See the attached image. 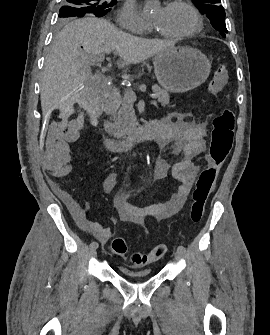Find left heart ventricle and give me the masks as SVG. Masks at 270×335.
Masks as SVG:
<instances>
[{
	"label": "left heart ventricle",
	"instance_id": "obj_1",
	"mask_svg": "<svg viewBox=\"0 0 270 335\" xmlns=\"http://www.w3.org/2000/svg\"><path fill=\"white\" fill-rule=\"evenodd\" d=\"M164 34L177 35L192 30L196 20L185 5L178 7H159L150 18Z\"/></svg>",
	"mask_w": 270,
	"mask_h": 335
}]
</instances>
